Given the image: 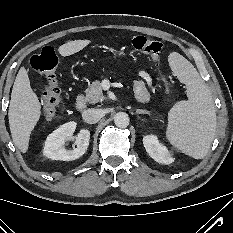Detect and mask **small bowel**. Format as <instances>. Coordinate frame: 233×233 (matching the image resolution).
I'll return each mask as SVG.
<instances>
[{"label": "small bowel", "instance_id": "1", "mask_svg": "<svg viewBox=\"0 0 233 233\" xmlns=\"http://www.w3.org/2000/svg\"><path fill=\"white\" fill-rule=\"evenodd\" d=\"M138 75L148 86L153 85V79L147 71L142 70Z\"/></svg>", "mask_w": 233, "mask_h": 233}]
</instances>
